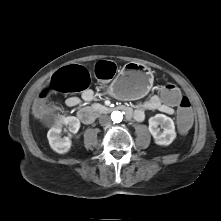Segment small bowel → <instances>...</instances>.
<instances>
[{
    "label": "small bowel",
    "mask_w": 221,
    "mask_h": 221,
    "mask_svg": "<svg viewBox=\"0 0 221 221\" xmlns=\"http://www.w3.org/2000/svg\"><path fill=\"white\" fill-rule=\"evenodd\" d=\"M95 97L94 91L92 89H86L83 91L80 97L72 96L66 100V105L69 107H77L81 105L82 102H91ZM174 108H170L165 106L159 99L158 95H153L149 97L147 100L140 102L136 105L133 117L136 121L141 122L145 119V112L147 110L150 111H160L167 115L174 114Z\"/></svg>",
    "instance_id": "c3829d8e"
}]
</instances>
